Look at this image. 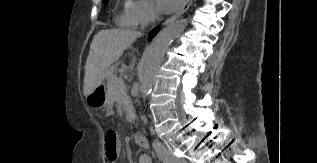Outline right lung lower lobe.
Returning a JSON list of instances; mask_svg holds the SVG:
<instances>
[{"instance_id": "obj_1", "label": "right lung lower lobe", "mask_w": 317, "mask_h": 163, "mask_svg": "<svg viewBox=\"0 0 317 163\" xmlns=\"http://www.w3.org/2000/svg\"><path fill=\"white\" fill-rule=\"evenodd\" d=\"M158 30H159V27L154 28V29L149 33L148 39L151 40L152 37L156 34V32H157Z\"/></svg>"}]
</instances>
